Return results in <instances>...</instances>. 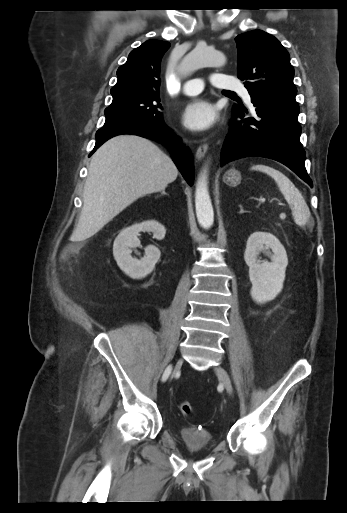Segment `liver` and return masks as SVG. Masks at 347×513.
Returning a JSON list of instances; mask_svg holds the SVG:
<instances>
[{"label":"liver","mask_w":347,"mask_h":513,"mask_svg":"<svg viewBox=\"0 0 347 513\" xmlns=\"http://www.w3.org/2000/svg\"><path fill=\"white\" fill-rule=\"evenodd\" d=\"M178 170L147 138L118 135L92 156L81 216L72 237L86 240L138 198L163 191Z\"/></svg>","instance_id":"1"}]
</instances>
